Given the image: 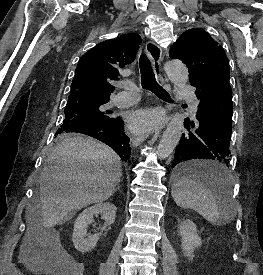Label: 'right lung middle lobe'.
<instances>
[{
	"label": "right lung middle lobe",
	"instance_id": "dd1d6c3e",
	"mask_svg": "<svg viewBox=\"0 0 263 275\" xmlns=\"http://www.w3.org/2000/svg\"><path fill=\"white\" fill-rule=\"evenodd\" d=\"M109 98L96 95H75L68 98L65 119L55 135L56 142L65 140L69 130L83 125H99L111 119L107 109Z\"/></svg>",
	"mask_w": 263,
	"mask_h": 275
}]
</instances>
